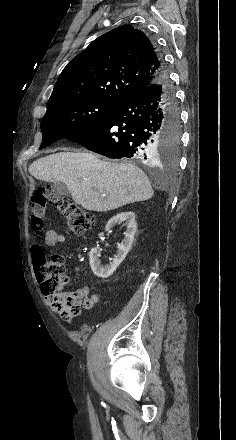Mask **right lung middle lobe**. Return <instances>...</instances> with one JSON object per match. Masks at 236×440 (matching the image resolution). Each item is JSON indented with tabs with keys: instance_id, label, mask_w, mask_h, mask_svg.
I'll use <instances>...</instances> for the list:
<instances>
[{
	"instance_id": "right-lung-middle-lobe-1",
	"label": "right lung middle lobe",
	"mask_w": 236,
	"mask_h": 440,
	"mask_svg": "<svg viewBox=\"0 0 236 440\" xmlns=\"http://www.w3.org/2000/svg\"><path fill=\"white\" fill-rule=\"evenodd\" d=\"M120 104L93 98L48 102L41 121L44 148L53 142L87 130L112 113ZM180 129H166L160 136L162 157L170 163L177 160Z\"/></svg>"
}]
</instances>
